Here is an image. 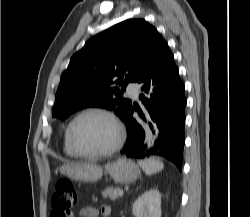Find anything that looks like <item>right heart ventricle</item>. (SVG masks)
Masks as SVG:
<instances>
[{"label":"right heart ventricle","instance_id":"right-heart-ventricle-1","mask_svg":"<svg viewBox=\"0 0 250 217\" xmlns=\"http://www.w3.org/2000/svg\"><path fill=\"white\" fill-rule=\"evenodd\" d=\"M63 150L66 155L70 157H76V153L73 151V149L70 147L68 140H67V132L65 131L64 139H63Z\"/></svg>","mask_w":250,"mask_h":217}]
</instances>
